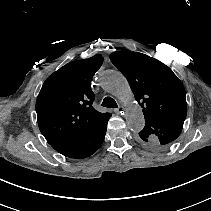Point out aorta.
Here are the masks:
<instances>
[{"instance_id":"aorta-1","label":"aorta","mask_w":211,"mask_h":211,"mask_svg":"<svg viewBox=\"0 0 211 211\" xmlns=\"http://www.w3.org/2000/svg\"><path fill=\"white\" fill-rule=\"evenodd\" d=\"M102 88L116 96L122 102H130L133 99V94L127 79L116 71H106L101 76ZM127 126L134 132L143 129L145 120L141 107L136 103H130L126 111Z\"/></svg>"}]
</instances>
